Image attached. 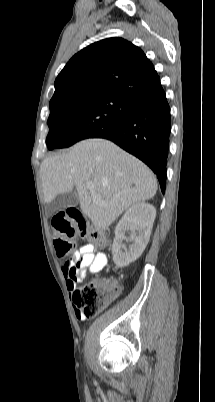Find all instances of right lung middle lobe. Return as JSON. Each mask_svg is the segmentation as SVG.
I'll list each match as a JSON object with an SVG mask.
<instances>
[{
    "mask_svg": "<svg viewBox=\"0 0 215 402\" xmlns=\"http://www.w3.org/2000/svg\"><path fill=\"white\" fill-rule=\"evenodd\" d=\"M133 101L112 94L63 97L50 101L49 150L64 148L95 136L119 123L131 110Z\"/></svg>",
    "mask_w": 215,
    "mask_h": 402,
    "instance_id": "right-lung-middle-lobe-1",
    "label": "right lung middle lobe"
}]
</instances>
